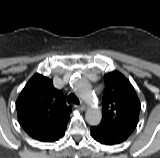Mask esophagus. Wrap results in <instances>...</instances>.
<instances>
[{
    "label": "esophagus",
    "instance_id": "obj_1",
    "mask_svg": "<svg viewBox=\"0 0 160 158\" xmlns=\"http://www.w3.org/2000/svg\"><path fill=\"white\" fill-rule=\"evenodd\" d=\"M75 107L80 111H84L86 109V105L84 103H81L80 105H76Z\"/></svg>",
    "mask_w": 160,
    "mask_h": 158
}]
</instances>
